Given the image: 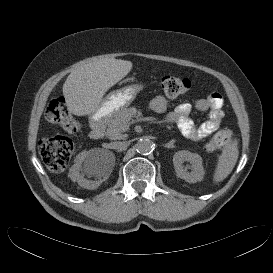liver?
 Listing matches in <instances>:
<instances>
[{
	"mask_svg": "<svg viewBox=\"0 0 273 273\" xmlns=\"http://www.w3.org/2000/svg\"><path fill=\"white\" fill-rule=\"evenodd\" d=\"M132 62L121 59L95 60L74 69L63 85L69 112L77 116L95 113L104 94L131 70Z\"/></svg>",
	"mask_w": 273,
	"mask_h": 273,
	"instance_id": "6515ba94",
	"label": "liver"
}]
</instances>
